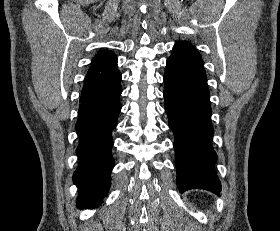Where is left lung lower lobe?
Instances as JSON below:
<instances>
[{
	"label": "left lung lower lobe",
	"instance_id": "left-lung-lower-lobe-1",
	"mask_svg": "<svg viewBox=\"0 0 280 231\" xmlns=\"http://www.w3.org/2000/svg\"><path fill=\"white\" fill-rule=\"evenodd\" d=\"M164 83L179 190L200 188L218 195L221 184L214 170L217 155L211 143L214 130L206 74L177 73L166 66Z\"/></svg>",
	"mask_w": 280,
	"mask_h": 231
}]
</instances>
